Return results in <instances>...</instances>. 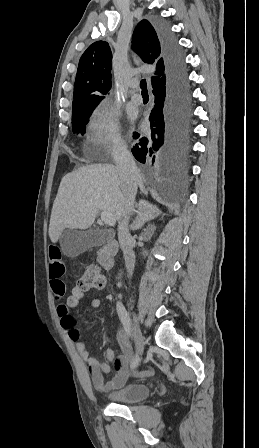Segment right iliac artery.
Wrapping results in <instances>:
<instances>
[{
	"instance_id": "right-iliac-artery-1",
	"label": "right iliac artery",
	"mask_w": 259,
	"mask_h": 448,
	"mask_svg": "<svg viewBox=\"0 0 259 448\" xmlns=\"http://www.w3.org/2000/svg\"><path fill=\"white\" fill-rule=\"evenodd\" d=\"M116 310H117L118 316L123 324L126 334L129 337H131L132 331H131V325H130V317H129L124 305L121 302H117ZM139 361H140V358H139L138 354L136 353L131 362V368L132 369L136 368L139 364Z\"/></svg>"
}]
</instances>
